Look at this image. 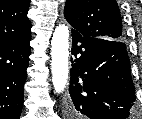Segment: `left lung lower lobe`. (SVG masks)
I'll use <instances>...</instances> for the list:
<instances>
[{
	"instance_id": "left-lung-lower-lobe-1",
	"label": "left lung lower lobe",
	"mask_w": 142,
	"mask_h": 119,
	"mask_svg": "<svg viewBox=\"0 0 142 119\" xmlns=\"http://www.w3.org/2000/svg\"><path fill=\"white\" fill-rule=\"evenodd\" d=\"M71 52L72 110L90 119L128 118L136 96L125 44L72 30Z\"/></svg>"
}]
</instances>
